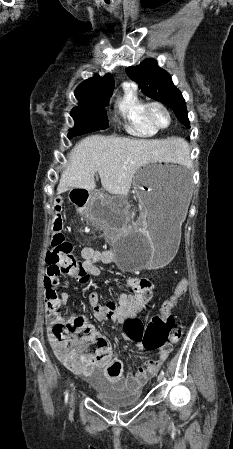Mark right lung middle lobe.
<instances>
[{"label": "right lung middle lobe", "mask_w": 233, "mask_h": 449, "mask_svg": "<svg viewBox=\"0 0 233 449\" xmlns=\"http://www.w3.org/2000/svg\"><path fill=\"white\" fill-rule=\"evenodd\" d=\"M112 94L79 99V106L72 109L71 116L75 120V127L70 130L68 137L82 135L108 127L105 107Z\"/></svg>", "instance_id": "dd1d6c3e"}]
</instances>
